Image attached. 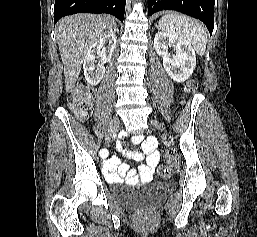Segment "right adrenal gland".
<instances>
[{"label":"right adrenal gland","mask_w":257,"mask_h":237,"mask_svg":"<svg viewBox=\"0 0 257 237\" xmlns=\"http://www.w3.org/2000/svg\"><path fill=\"white\" fill-rule=\"evenodd\" d=\"M116 31H117V33H119V29L118 28L116 29Z\"/></svg>","instance_id":"right-adrenal-gland-1"}]
</instances>
